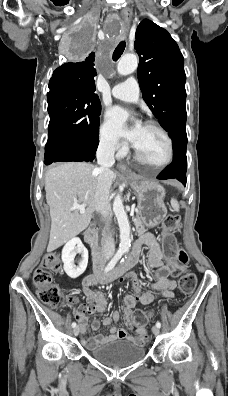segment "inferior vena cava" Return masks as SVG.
Wrapping results in <instances>:
<instances>
[{"label":"inferior vena cava","instance_id":"1","mask_svg":"<svg viewBox=\"0 0 228 396\" xmlns=\"http://www.w3.org/2000/svg\"><path fill=\"white\" fill-rule=\"evenodd\" d=\"M115 147L112 143L101 142L97 149L96 157L99 164L97 168L99 176L95 192V210L106 217V229L109 230V194L112 184L111 167L114 165ZM104 254L112 256L115 252L114 239L111 233L106 234L104 239Z\"/></svg>","mask_w":228,"mask_h":396}]
</instances>
